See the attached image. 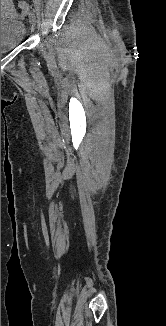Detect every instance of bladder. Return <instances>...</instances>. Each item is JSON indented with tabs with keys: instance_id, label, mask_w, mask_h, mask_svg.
<instances>
[{
	"instance_id": "1",
	"label": "bladder",
	"mask_w": 166,
	"mask_h": 326,
	"mask_svg": "<svg viewBox=\"0 0 166 326\" xmlns=\"http://www.w3.org/2000/svg\"><path fill=\"white\" fill-rule=\"evenodd\" d=\"M25 37V26L17 17H1V54L18 47Z\"/></svg>"
}]
</instances>
